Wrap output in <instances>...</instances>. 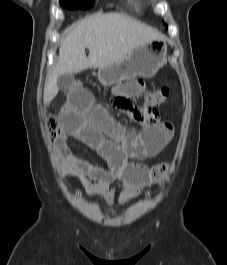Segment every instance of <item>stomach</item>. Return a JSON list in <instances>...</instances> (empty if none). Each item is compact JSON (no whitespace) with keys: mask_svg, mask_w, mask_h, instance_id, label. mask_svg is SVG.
<instances>
[{"mask_svg":"<svg viewBox=\"0 0 227 265\" xmlns=\"http://www.w3.org/2000/svg\"><path fill=\"white\" fill-rule=\"evenodd\" d=\"M167 46L159 40L135 47L122 61L99 68L98 80L104 86H111L137 76L153 77L166 63Z\"/></svg>","mask_w":227,"mask_h":265,"instance_id":"0dacf381","label":"stomach"}]
</instances>
